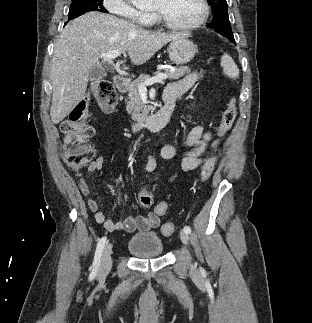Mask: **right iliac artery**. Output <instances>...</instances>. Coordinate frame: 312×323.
<instances>
[{"label": "right iliac artery", "mask_w": 312, "mask_h": 323, "mask_svg": "<svg viewBox=\"0 0 312 323\" xmlns=\"http://www.w3.org/2000/svg\"><path fill=\"white\" fill-rule=\"evenodd\" d=\"M105 243H106V237H102L98 241L96 252H95V257H94V262H93V272H96L100 266V259H101V255H102V251L104 249Z\"/></svg>", "instance_id": "82829eb1"}]
</instances>
